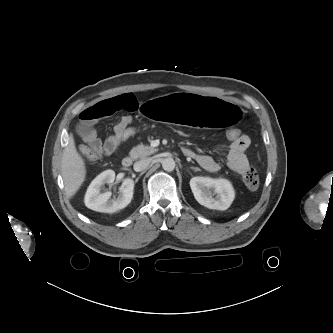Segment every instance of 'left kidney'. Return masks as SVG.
Instances as JSON below:
<instances>
[{
  "label": "left kidney",
  "instance_id": "5707ae66",
  "mask_svg": "<svg viewBox=\"0 0 333 333\" xmlns=\"http://www.w3.org/2000/svg\"><path fill=\"white\" fill-rule=\"evenodd\" d=\"M190 187L197 202L209 209L226 210L235 198L232 184L223 178L193 177Z\"/></svg>",
  "mask_w": 333,
  "mask_h": 333
}]
</instances>
